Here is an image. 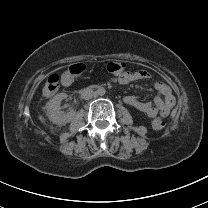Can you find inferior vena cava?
<instances>
[{"label":"inferior vena cava","mask_w":208,"mask_h":208,"mask_svg":"<svg viewBox=\"0 0 208 208\" xmlns=\"http://www.w3.org/2000/svg\"><path fill=\"white\" fill-rule=\"evenodd\" d=\"M94 92L91 88L86 87L81 91V98L84 100H89L93 97Z\"/></svg>","instance_id":"obj_1"}]
</instances>
